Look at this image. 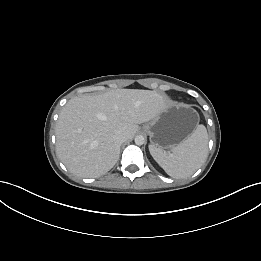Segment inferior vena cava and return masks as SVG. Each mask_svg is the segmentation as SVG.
<instances>
[{
    "label": "inferior vena cava",
    "instance_id": "obj_1",
    "mask_svg": "<svg viewBox=\"0 0 261 261\" xmlns=\"http://www.w3.org/2000/svg\"><path fill=\"white\" fill-rule=\"evenodd\" d=\"M114 139L117 143L122 144L127 140V137L125 133L118 131L114 134Z\"/></svg>",
    "mask_w": 261,
    "mask_h": 261
}]
</instances>
